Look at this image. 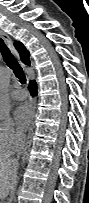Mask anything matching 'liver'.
Wrapping results in <instances>:
<instances>
[{"mask_svg": "<svg viewBox=\"0 0 89 203\" xmlns=\"http://www.w3.org/2000/svg\"><path fill=\"white\" fill-rule=\"evenodd\" d=\"M18 168L17 160L10 158L0 159V197L4 198L8 195L12 187L11 180L16 176Z\"/></svg>", "mask_w": 89, "mask_h": 203, "instance_id": "1", "label": "liver"}]
</instances>
